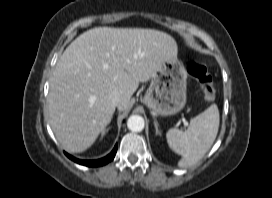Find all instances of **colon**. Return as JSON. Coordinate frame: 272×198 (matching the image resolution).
<instances>
[{"instance_id": "5ec220e1", "label": "colon", "mask_w": 272, "mask_h": 198, "mask_svg": "<svg viewBox=\"0 0 272 198\" xmlns=\"http://www.w3.org/2000/svg\"><path fill=\"white\" fill-rule=\"evenodd\" d=\"M188 73L199 84L201 94L206 101L215 98V89L212 76L207 68L198 61H192L188 65Z\"/></svg>"}]
</instances>
